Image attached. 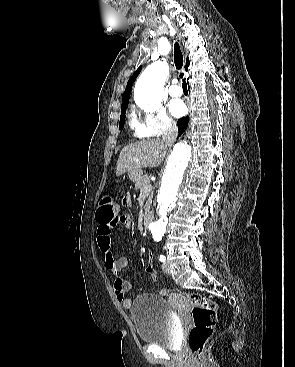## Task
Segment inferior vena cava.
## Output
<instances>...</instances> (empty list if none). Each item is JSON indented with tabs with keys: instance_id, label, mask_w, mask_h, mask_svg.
I'll use <instances>...</instances> for the list:
<instances>
[{
	"instance_id": "602c4592",
	"label": "inferior vena cava",
	"mask_w": 295,
	"mask_h": 367,
	"mask_svg": "<svg viewBox=\"0 0 295 367\" xmlns=\"http://www.w3.org/2000/svg\"><path fill=\"white\" fill-rule=\"evenodd\" d=\"M177 134V126L171 123L167 124L162 138L167 147H171L173 145L176 140Z\"/></svg>"
}]
</instances>
